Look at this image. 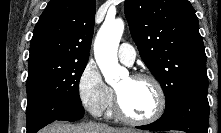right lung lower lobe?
Instances as JSON below:
<instances>
[{
    "label": "right lung lower lobe",
    "instance_id": "obj_1",
    "mask_svg": "<svg viewBox=\"0 0 221 133\" xmlns=\"http://www.w3.org/2000/svg\"><path fill=\"white\" fill-rule=\"evenodd\" d=\"M27 133H36L55 120L76 121L83 117L84 108L79 104L52 105L37 98H29L26 109Z\"/></svg>",
    "mask_w": 221,
    "mask_h": 133
}]
</instances>
